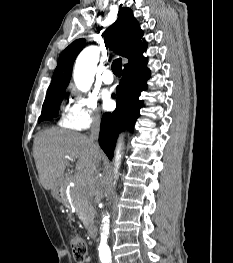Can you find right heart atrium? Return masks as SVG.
Masks as SVG:
<instances>
[{"label": "right heart atrium", "mask_w": 233, "mask_h": 263, "mask_svg": "<svg viewBox=\"0 0 233 263\" xmlns=\"http://www.w3.org/2000/svg\"><path fill=\"white\" fill-rule=\"evenodd\" d=\"M73 98L64 118L67 128L82 131L100 122L97 97L73 91Z\"/></svg>", "instance_id": "d8ad5b80"}]
</instances>
